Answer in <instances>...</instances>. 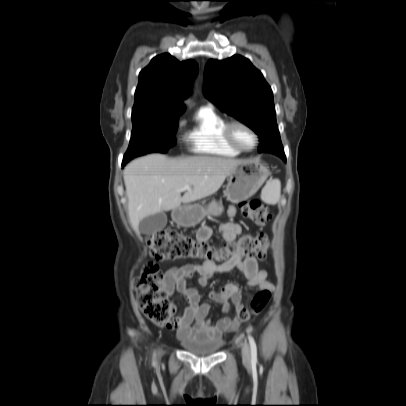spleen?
I'll return each mask as SVG.
<instances>
[{
  "label": "spleen",
  "instance_id": "obj_1",
  "mask_svg": "<svg viewBox=\"0 0 406 406\" xmlns=\"http://www.w3.org/2000/svg\"><path fill=\"white\" fill-rule=\"evenodd\" d=\"M281 183L278 179L267 182L262 190V199L269 204H276L280 200Z\"/></svg>",
  "mask_w": 406,
  "mask_h": 406
}]
</instances>
